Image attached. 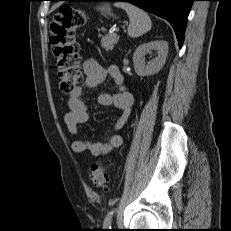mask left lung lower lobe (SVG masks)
Here are the masks:
<instances>
[{
  "label": "left lung lower lobe",
  "instance_id": "1",
  "mask_svg": "<svg viewBox=\"0 0 231 231\" xmlns=\"http://www.w3.org/2000/svg\"><path fill=\"white\" fill-rule=\"evenodd\" d=\"M59 1V0H52ZM102 1V0H87ZM104 1V0H103ZM106 1V0H105ZM107 1H127L135 4L143 10L153 13L166 19L174 28L179 47L184 41V32L187 17L194 0H107Z\"/></svg>",
  "mask_w": 231,
  "mask_h": 231
}]
</instances>
